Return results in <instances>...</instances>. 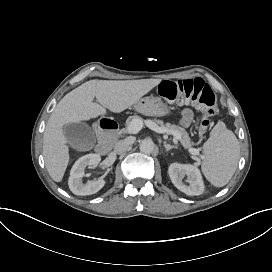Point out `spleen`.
Returning <instances> with one entry per match:
<instances>
[{
	"label": "spleen",
	"mask_w": 272,
	"mask_h": 272,
	"mask_svg": "<svg viewBox=\"0 0 272 272\" xmlns=\"http://www.w3.org/2000/svg\"><path fill=\"white\" fill-rule=\"evenodd\" d=\"M201 172L213 186L223 187L233 177L240 158V145L234 133L219 122L202 146Z\"/></svg>",
	"instance_id": "obj_1"
}]
</instances>
